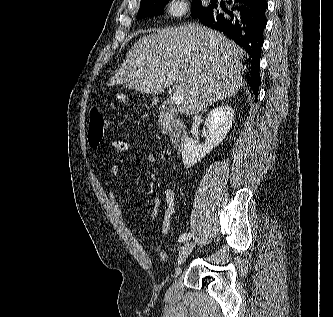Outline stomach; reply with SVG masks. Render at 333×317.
I'll return each mask as SVG.
<instances>
[{
	"mask_svg": "<svg viewBox=\"0 0 333 317\" xmlns=\"http://www.w3.org/2000/svg\"><path fill=\"white\" fill-rule=\"evenodd\" d=\"M115 99H116V101L117 102H123V103H125L126 102V99H128L127 97H126V95H124L123 93H121V92H118V93H116V95H115Z\"/></svg>",
	"mask_w": 333,
	"mask_h": 317,
	"instance_id": "stomach-1",
	"label": "stomach"
}]
</instances>
